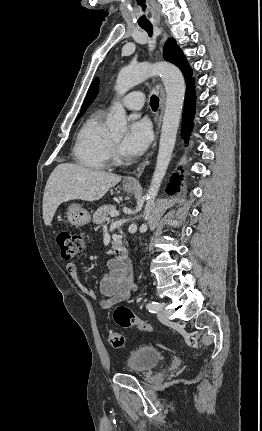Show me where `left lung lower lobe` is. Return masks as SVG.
I'll return each instance as SVG.
<instances>
[{
    "mask_svg": "<svg viewBox=\"0 0 262 431\" xmlns=\"http://www.w3.org/2000/svg\"><path fill=\"white\" fill-rule=\"evenodd\" d=\"M195 92H194V83H187V91H186V103L184 107V113H183V123H182V134L183 138L185 139V142L188 141V137L191 134L192 129V120H193V114L195 110ZM178 174H174L172 177V181L168 184L167 192L169 194H173L177 190H179V185L181 178L183 177L178 176Z\"/></svg>",
    "mask_w": 262,
    "mask_h": 431,
    "instance_id": "1",
    "label": "left lung lower lobe"
}]
</instances>
